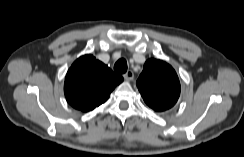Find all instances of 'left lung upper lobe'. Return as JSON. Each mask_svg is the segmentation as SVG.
Instances as JSON below:
<instances>
[{"label": "left lung upper lobe", "mask_w": 244, "mask_h": 157, "mask_svg": "<svg viewBox=\"0 0 244 157\" xmlns=\"http://www.w3.org/2000/svg\"><path fill=\"white\" fill-rule=\"evenodd\" d=\"M136 84L145 103L157 112L174 106L180 95L175 70L161 60H147Z\"/></svg>", "instance_id": "left-lung-upper-lobe-1"}]
</instances>
